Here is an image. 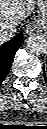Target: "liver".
<instances>
[{
	"label": "liver",
	"mask_w": 47,
	"mask_h": 129,
	"mask_svg": "<svg viewBox=\"0 0 47 129\" xmlns=\"http://www.w3.org/2000/svg\"><path fill=\"white\" fill-rule=\"evenodd\" d=\"M35 0H0V30L15 28L34 11ZM4 41L0 40L2 44Z\"/></svg>",
	"instance_id": "6515ba94"
}]
</instances>
